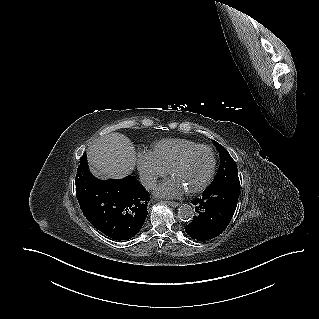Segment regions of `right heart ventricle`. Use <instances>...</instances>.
<instances>
[{
  "label": "right heart ventricle",
  "instance_id": "e07e8e85",
  "mask_svg": "<svg viewBox=\"0 0 319 319\" xmlns=\"http://www.w3.org/2000/svg\"><path fill=\"white\" fill-rule=\"evenodd\" d=\"M200 144L184 138L162 139L155 142L149 151L152 158L165 170L186 150Z\"/></svg>",
  "mask_w": 319,
  "mask_h": 319
}]
</instances>
